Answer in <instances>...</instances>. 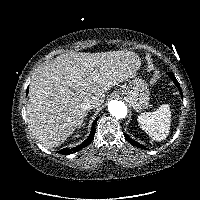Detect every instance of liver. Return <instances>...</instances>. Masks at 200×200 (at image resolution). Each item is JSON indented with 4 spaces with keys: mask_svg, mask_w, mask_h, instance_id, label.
I'll use <instances>...</instances> for the list:
<instances>
[{
    "mask_svg": "<svg viewBox=\"0 0 200 200\" xmlns=\"http://www.w3.org/2000/svg\"><path fill=\"white\" fill-rule=\"evenodd\" d=\"M131 51L68 52L47 62L34 73L26 105L32 135L46 148L64 141L82 125L91 99L98 108L114 85L133 78L140 66Z\"/></svg>",
    "mask_w": 200,
    "mask_h": 200,
    "instance_id": "obj_1",
    "label": "liver"
}]
</instances>
